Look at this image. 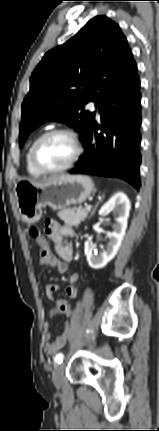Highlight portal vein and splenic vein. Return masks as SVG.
<instances>
[{"mask_svg":"<svg viewBox=\"0 0 159 431\" xmlns=\"http://www.w3.org/2000/svg\"><path fill=\"white\" fill-rule=\"evenodd\" d=\"M91 208H92L91 205H87L86 208H85V210H90Z\"/></svg>","mask_w":159,"mask_h":431,"instance_id":"portal-vein-and-splenic-vein-1","label":"portal vein and splenic vein"}]
</instances>
